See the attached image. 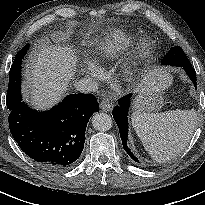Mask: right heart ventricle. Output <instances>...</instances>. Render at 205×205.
Returning <instances> with one entry per match:
<instances>
[{"mask_svg": "<svg viewBox=\"0 0 205 205\" xmlns=\"http://www.w3.org/2000/svg\"><path fill=\"white\" fill-rule=\"evenodd\" d=\"M133 36L121 29L110 32L106 39L95 49L93 58L98 64H104L120 57L132 44Z\"/></svg>", "mask_w": 205, "mask_h": 205, "instance_id": "obj_1", "label": "right heart ventricle"}]
</instances>
